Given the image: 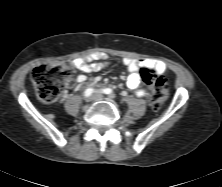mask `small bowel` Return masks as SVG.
Returning a JSON list of instances; mask_svg holds the SVG:
<instances>
[{"instance_id": "1", "label": "small bowel", "mask_w": 222, "mask_h": 187, "mask_svg": "<svg viewBox=\"0 0 222 187\" xmlns=\"http://www.w3.org/2000/svg\"><path fill=\"white\" fill-rule=\"evenodd\" d=\"M106 54L96 53L87 58H78L73 61L75 68L80 70L83 73H89L92 71H97L107 67L108 63L106 62ZM94 60H100L94 62ZM125 66L129 71V76L127 78V86L130 90L134 91L137 96L145 97L147 90L140 86L141 83V69H150L158 74H162L166 70V66L162 61L154 59H130L125 58L123 60ZM76 81L79 84H85L87 82V77L84 74L77 76Z\"/></svg>"}]
</instances>
